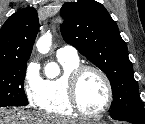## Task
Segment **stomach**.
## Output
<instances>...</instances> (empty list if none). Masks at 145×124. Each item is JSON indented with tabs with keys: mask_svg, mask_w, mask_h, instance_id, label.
Wrapping results in <instances>:
<instances>
[{
	"mask_svg": "<svg viewBox=\"0 0 145 124\" xmlns=\"http://www.w3.org/2000/svg\"><path fill=\"white\" fill-rule=\"evenodd\" d=\"M87 124H102V123L90 122V123H87Z\"/></svg>",
	"mask_w": 145,
	"mask_h": 124,
	"instance_id": "obj_1",
	"label": "stomach"
}]
</instances>
